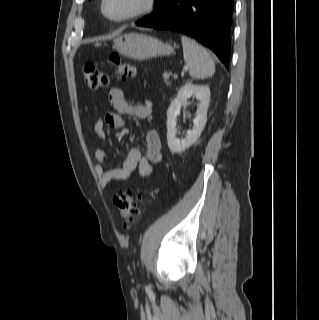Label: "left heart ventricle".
Listing matches in <instances>:
<instances>
[{"label":"left heart ventricle","mask_w":319,"mask_h":320,"mask_svg":"<svg viewBox=\"0 0 319 320\" xmlns=\"http://www.w3.org/2000/svg\"><path fill=\"white\" fill-rule=\"evenodd\" d=\"M141 3L142 0H107L106 11L119 18L135 10Z\"/></svg>","instance_id":"obj_1"}]
</instances>
